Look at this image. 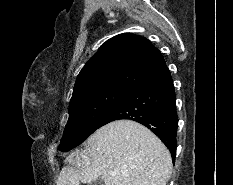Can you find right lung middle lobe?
I'll use <instances>...</instances> for the list:
<instances>
[{"label":"right lung middle lobe","instance_id":"1","mask_svg":"<svg viewBox=\"0 0 233 185\" xmlns=\"http://www.w3.org/2000/svg\"><path fill=\"white\" fill-rule=\"evenodd\" d=\"M129 91L119 87H107L72 98L69 105V119L59 149L66 152L81 144L99 128L102 120Z\"/></svg>","mask_w":233,"mask_h":185}]
</instances>
